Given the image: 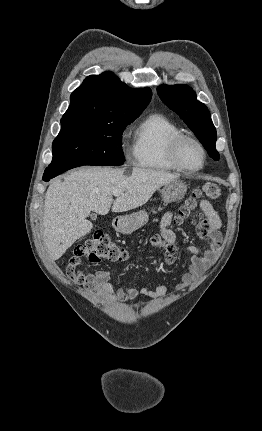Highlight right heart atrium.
Instances as JSON below:
<instances>
[{
    "label": "right heart atrium",
    "mask_w": 262,
    "mask_h": 431,
    "mask_svg": "<svg viewBox=\"0 0 262 431\" xmlns=\"http://www.w3.org/2000/svg\"><path fill=\"white\" fill-rule=\"evenodd\" d=\"M123 145H125L124 139H123Z\"/></svg>",
    "instance_id": "1"
}]
</instances>
